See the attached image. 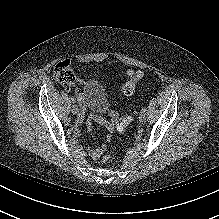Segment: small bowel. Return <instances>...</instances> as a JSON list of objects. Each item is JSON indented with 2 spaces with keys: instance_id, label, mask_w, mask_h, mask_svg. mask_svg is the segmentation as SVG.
Masks as SVG:
<instances>
[{
  "instance_id": "1",
  "label": "small bowel",
  "mask_w": 219,
  "mask_h": 219,
  "mask_svg": "<svg viewBox=\"0 0 219 219\" xmlns=\"http://www.w3.org/2000/svg\"><path fill=\"white\" fill-rule=\"evenodd\" d=\"M68 90H71V86L67 87ZM76 97L79 101H86L85 96L81 95V94H76ZM92 125L89 124V127H91ZM104 147L100 146L98 148H94V149H90L89 150V156L92 158H97L101 155L102 151H103Z\"/></svg>"
}]
</instances>
